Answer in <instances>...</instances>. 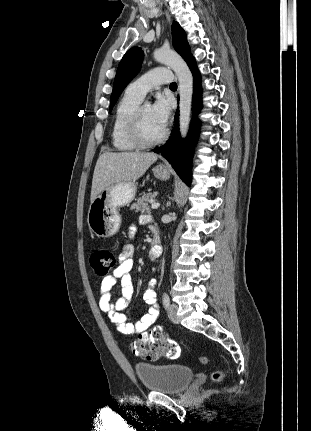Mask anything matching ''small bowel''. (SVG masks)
<instances>
[{"label": "small bowel", "instance_id": "obj_1", "mask_svg": "<svg viewBox=\"0 0 311 431\" xmlns=\"http://www.w3.org/2000/svg\"><path fill=\"white\" fill-rule=\"evenodd\" d=\"M151 219L143 215L140 217V223H150ZM151 229H155L150 225ZM135 226L130 227L129 236L135 233ZM134 248L130 243L123 246L119 256V264L113 271L112 275L104 278L99 290V307L106 313L116 327V329L125 335L137 333L140 338H149L154 340H164L163 329L160 326H154L159 316V306L157 304L156 280L150 279L145 287L143 298L149 306L148 312L141 317L136 323L128 322L124 309L129 305L133 296V281L130 274L134 265ZM117 281L120 282L121 296L112 302L113 289ZM149 330V332H148Z\"/></svg>", "mask_w": 311, "mask_h": 431}]
</instances>
